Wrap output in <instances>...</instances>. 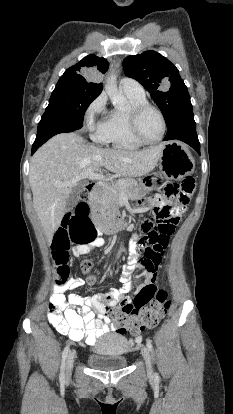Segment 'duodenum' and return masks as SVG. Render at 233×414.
Wrapping results in <instances>:
<instances>
[{"mask_svg":"<svg viewBox=\"0 0 233 414\" xmlns=\"http://www.w3.org/2000/svg\"><path fill=\"white\" fill-rule=\"evenodd\" d=\"M97 184H89L85 187L86 195L83 198V203H86L91 208V220L96 222L97 230L100 233H113L124 228V219L122 215L116 214L110 219H104V213L100 211V205H96L97 201L101 199V190L98 189Z\"/></svg>","mask_w":233,"mask_h":414,"instance_id":"1","label":"duodenum"}]
</instances>
